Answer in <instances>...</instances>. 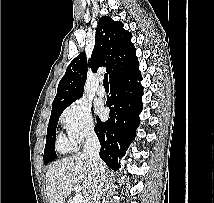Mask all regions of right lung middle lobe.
I'll list each match as a JSON object with an SVG mask.
<instances>
[{"mask_svg":"<svg viewBox=\"0 0 214 203\" xmlns=\"http://www.w3.org/2000/svg\"><path fill=\"white\" fill-rule=\"evenodd\" d=\"M67 106L51 113V116L49 119V125L47 128L46 145H45L44 156H43L44 164H47L53 161L54 159H56V153H55L56 127H57V123L60 115L62 114V112Z\"/></svg>","mask_w":214,"mask_h":203,"instance_id":"right-lung-middle-lobe-1","label":"right lung middle lobe"}]
</instances>
